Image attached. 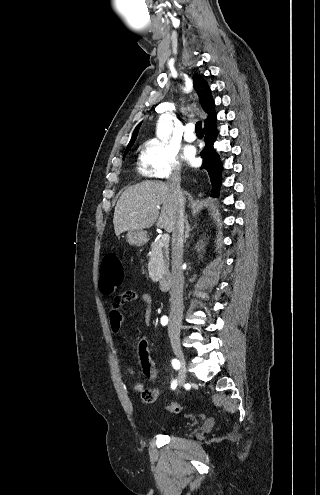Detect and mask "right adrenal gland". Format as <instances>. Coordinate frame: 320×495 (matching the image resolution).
<instances>
[{"mask_svg":"<svg viewBox=\"0 0 320 495\" xmlns=\"http://www.w3.org/2000/svg\"><path fill=\"white\" fill-rule=\"evenodd\" d=\"M191 230V227L189 225V222H188V219H187V216L185 217V235H184V241L186 242V240L188 239L189 237V231Z\"/></svg>","mask_w":320,"mask_h":495,"instance_id":"1","label":"right adrenal gland"}]
</instances>
